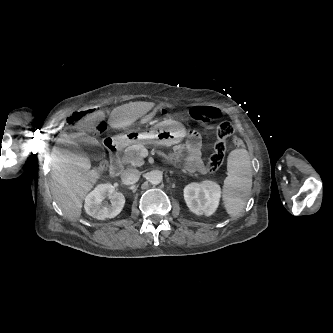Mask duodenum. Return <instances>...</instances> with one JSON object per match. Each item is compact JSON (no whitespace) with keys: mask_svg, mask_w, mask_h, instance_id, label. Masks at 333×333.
I'll use <instances>...</instances> for the list:
<instances>
[{"mask_svg":"<svg viewBox=\"0 0 333 333\" xmlns=\"http://www.w3.org/2000/svg\"><path fill=\"white\" fill-rule=\"evenodd\" d=\"M106 145L111 160L110 174L112 176H118L122 171V164L119 160L121 144L117 141L109 140Z\"/></svg>","mask_w":333,"mask_h":333,"instance_id":"410a0bca","label":"duodenum"}]
</instances>
